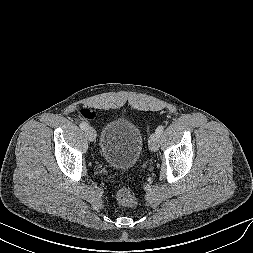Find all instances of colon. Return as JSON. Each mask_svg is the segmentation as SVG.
<instances>
[{
	"mask_svg": "<svg viewBox=\"0 0 253 253\" xmlns=\"http://www.w3.org/2000/svg\"><path fill=\"white\" fill-rule=\"evenodd\" d=\"M93 112L90 109H82L80 115L85 119H90ZM115 197L117 202L124 207H135L137 204V198L135 194L128 187H119L116 190Z\"/></svg>",
	"mask_w": 253,
	"mask_h": 253,
	"instance_id": "5ec220e1",
	"label": "colon"
}]
</instances>
